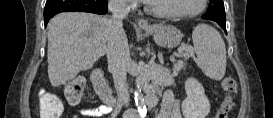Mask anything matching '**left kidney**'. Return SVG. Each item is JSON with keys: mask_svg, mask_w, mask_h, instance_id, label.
I'll return each mask as SVG.
<instances>
[{"mask_svg": "<svg viewBox=\"0 0 273 118\" xmlns=\"http://www.w3.org/2000/svg\"><path fill=\"white\" fill-rule=\"evenodd\" d=\"M185 89L187 98L181 105L184 118H205L210 112V103L202 84L195 78H188Z\"/></svg>", "mask_w": 273, "mask_h": 118, "instance_id": "left-kidney-1", "label": "left kidney"}]
</instances>
